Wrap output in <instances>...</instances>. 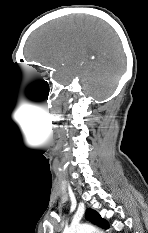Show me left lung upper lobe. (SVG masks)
<instances>
[{
    "label": "left lung upper lobe",
    "mask_w": 148,
    "mask_h": 233,
    "mask_svg": "<svg viewBox=\"0 0 148 233\" xmlns=\"http://www.w3.org/2000/svg\"><path fill=\"white\" fill-rule=\"evenodd\" d=\"M86 219L102 228H109V224L108 222L103 219L99 213H97L96 211L92 210V209H87L86 211Z\"/></svg>",
    "instance_id": "5c2ea615"
}]
</instances>
